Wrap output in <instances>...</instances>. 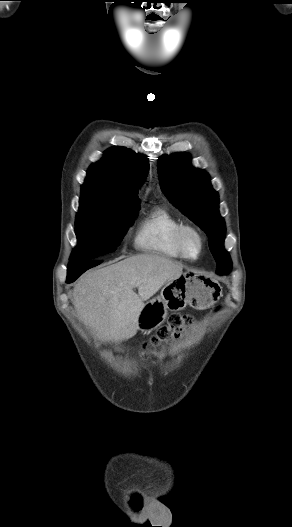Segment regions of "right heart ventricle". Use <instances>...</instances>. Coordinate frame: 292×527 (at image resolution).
Wrapping results in <instances>:
<instances>
[{
    "mask_svg": "<svg viewBox=\"0 0 292 527\" xmlns=\"http://www.w3.org/2000/svg\"><path fill=\"white\" fill-rule=\"evenodd\" d=\"M182 224V220L168 208L152 207L137 227L134 244L143 252L180 259L175 235Z\"/></svg>",
    "mask_w": 292,
    "mask_h": 527,
    "instance_id": "1",
    "label": "right heart ventricle"
}]
</instances>
